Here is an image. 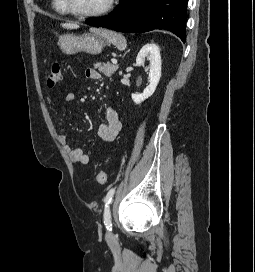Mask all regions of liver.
Listing matches in <instances>:
<instances>
[{
    "label": "liver",
    "instance_id": "6515ba94",
    "mask_svg": "<svg viewBox=\"0 0 255 272\" xmlns=\"http://www.w3.org/2000/svg\"><path fill=\"white\" fill-rule=\"evenodd\" d=\"M63 28L66 29H77L79 28V25L75 24V23H63L61 24Z\"/></svg>",
    "mask_w": 255,
    "mask_h": 272
}]
</instances>
